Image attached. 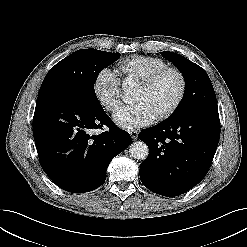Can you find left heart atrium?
I'll use <instances>...</instances> for the list:
<instances>
[{"label": "left heart atrium", "instance_id": "left-heart-atrium-1", "mask_svg": "<svg viewBox=\"0 0 247 247\" xmlns=\"http://www.w3.org/2000/svg\"><path fill=\"white\" fill-rule=\"evenodd\" d=\"M115 123L124 129H134L153 123L157 119L154 111L144 102L132 106L120 107L114 114Z\"/></svg>", "mask_w": 247, "mask_h": 247}]
</instances>
